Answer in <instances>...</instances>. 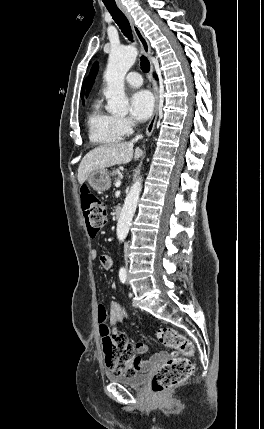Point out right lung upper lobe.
I'll use <instances>...</instances> for the list:
<instances>
[{
  "label": "right lung upper lobe",
  "instance_id": "1",
  "mask_svg": "<svg viewBox=\"0 0 264 429\" xmlns=\"http://www.w3.org/2000/svg\"><path fill=\"white\" fill-rule=\"evenodd\" d=\"M84 85H85V82H84L83 87H82V90H81V97H82V98H83V94H84Z\"/></svg>",
  "mask_w": 264,
  "mask_h": 429
}]
</instances>
